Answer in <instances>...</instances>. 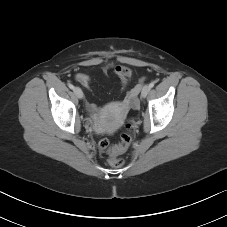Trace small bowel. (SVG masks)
Returning <instances> with one entry per match:
<instances>
[{
	"label": "small bowel",
	"mask_w": 227,
	"mask_h": 227,
	"mask_svg": "<svg viewBox=\"0 0 227 227\" xmlns=\"http://www.w3.org/2000/svg\"><path fill=\"white\" fill-rule=\"evenodd\" d=\"M114 72L117 75V77L120 79L122 87H126L130 83L132 76H133V72L130 68H128L124 65H117L114 67ZM75 79L81 85H83L85 87H90L91 80L88 75H86L84 73H78V74H76ZM92 108H93V106H92Z\"/></svg>",
	"instance_id": "small-bowel-1"
}]
</instances>
